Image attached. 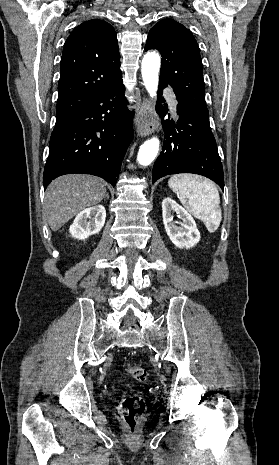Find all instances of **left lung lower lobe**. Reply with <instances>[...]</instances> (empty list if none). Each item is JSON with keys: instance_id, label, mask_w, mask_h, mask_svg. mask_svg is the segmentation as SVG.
Here are the masks:
<instances>
[{"instance_id": "obj_1", "label": "left lung lower lobe", "mask_w": 279, "mask_h": 465, "mask_svg": "<svg viewBox=\"0 0 279 465\" xmlns=\"http://www.w3.org/2000/svg\"><path fill=\"white\" fill-rule=\"evenodd\" d=\"M166 86V83L159 81L160 95ZM157 111H160L159 107ZM161 112L163 116L166 114L164 108H161ZM177 114V125L169 120L163 122L165 140L153 167L152 182L169 174L195 173L210 178L224 189L222 163L209 119L179 101Z\"/></svg>"}]
</instances>
